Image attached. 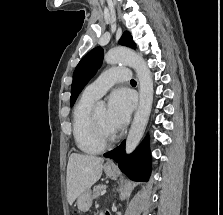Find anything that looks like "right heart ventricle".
<instances>
[{"label": "right heart ventricle", "instance_id": "e07e8e85", "mask_svg": "<svg viewBox=\"0 0 223 215\" xmlns=\"http://www.w3.org/2000/svg\"><path fill=\"white\" fill-rule=\"evenodd\" d=\"M94 98L84 94L76 104L73 112L72 134L77 148L86 154H98L103 151L93 138L92 112Z\"/></svg>", "mask_w": 223, "mask_h": 215}]
</instances>
